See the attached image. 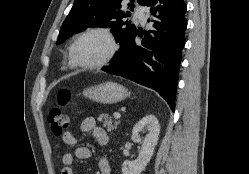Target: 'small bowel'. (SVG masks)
I'll return each mask as SVG.
<instances>
[{"mask_svg": "<svg viewBox=\"0 0 249 174\" xmlns=\"http://www.w3.org/2000/svg\"><path fill=\"white\" fill-rule=\"evenodd\" d=\"M80 128L82 132L91 131L98 145L103 147L108 144L109 138H108L106 131L103 128L98 127L96 125L94 118L92 117L85 118L81 122ZM62 140L64 144H66L67 146H76L78 142L76 135L69 131L65 132L62 135ZM91 156H92V151L87 147H77L74 153H65L62 156V164L64 165V167L62 169L61 174H74V171L71 167L74 160L75 159H87V158H90ZM98 166H99L98 174H111L112 173L110 163L106 157H101L99 159Z\"/></svg>", "mask_w": 249, "mask_h": 174, "instance_id": "1", "label": "small bowel"}]
</instances>
